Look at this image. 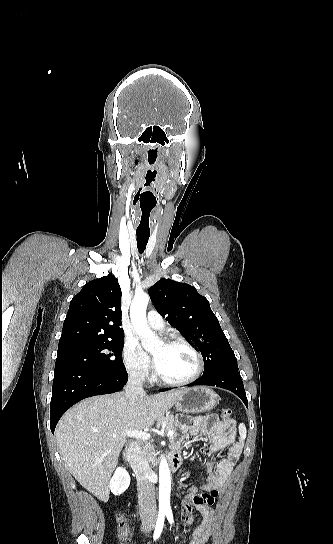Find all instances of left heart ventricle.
Returning <instances> with one entry per match:
<instances>
[{
    "mask_svg": "<svg viewBox=\"0 0 333 544\" xmlns=\"http://www.w3.org/2000/svg\"><path fill=\"white\" fill-rule=\"evenodd\" d=\"M152 354L157 371L165 379L183 380L190 377L196 370L197 362L194 354L183 346H169L161 343Z\"/></svg>",
    "mask_w": 333,
    "mask_h": 544,
    "instance_id": "b2bd125f",
    "label": "left heart ventricle"
}]
</instances>
